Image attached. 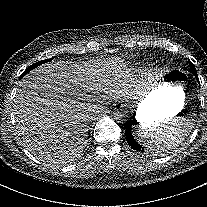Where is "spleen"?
I'll use <instances>...</instances> for the list:
<instances>
[{
	"instance_id": "obj_1",
	"label": "spleen",
	"mask_w": 207,
	"mask_h": 207,
	"mask_svg": "<svg viewBox=\"0 0 207 207\" xmlns=\"http://www.w3.org/2000/svg\"><path fill=\"white\" fill-rule=\"evenodd\" d=\"M195 125V120L190 115H182L162 123H149L138 126L133 131V136L144 146L157 151L170 149L181 145L190 135V129Z\"/></svg>"
}]
</instances>
